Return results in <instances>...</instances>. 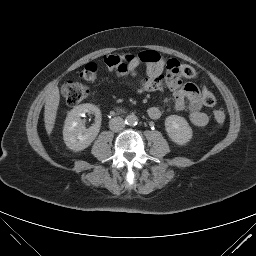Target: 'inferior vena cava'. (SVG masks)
Masks as SVG:
<instances>
[{
  "label": "inferior vena cava",
  "instance_id": "obj_1",
  "mask_svg": "<svg viewBox=\"0 0 256 256\" xmlns=\"http://www.w3.org/2000/svg\"><path fill=\"white\" fill-rule=\"evenodd\" d=\"M125 127L124 120L121 117H114L109 121V128L114 131L118 132Z\"/></svg>",
  "mask_w": 256,
  "mask_h": 256
}]
</instances>
